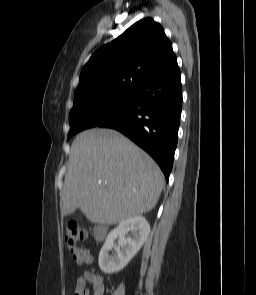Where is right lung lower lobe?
<instances>
[{
  "instance_id": "1",
  "label": "right lung lower lobe",
  "mask_w": 256,
  "mask_h": 295,
  "mask_svg": "<svg viewBox=\"0 0 256 295\" xmlns=\"http://www.w3.org/2000/svg\"><path fill=\"white\" fill-rule=\"evenodd\" d=\"M181 106V73L174 56L138 87L130 108L110 119H88L86 125L112 128L129 137L155 159L168 180L177 146Z\"/></svg>"
}]
</instances>
